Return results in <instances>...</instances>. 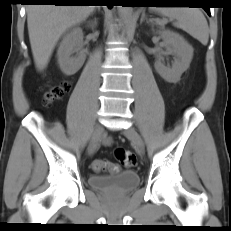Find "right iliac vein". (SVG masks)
<instances>
[{"mask_svg": "<svg viewBox=\"0 0 231 231\" xmlns=\"http://www.w3.org/2000/svg\"><path fill=\"white\" fill-rule=\"evenodd\" d=\"M103 133H104L103 126L102 125H97L94 132H93V135L91 137V141H90V144H89V147H88L89 154H92L94 152V150L98 146V143H99Z\"/></svg>", "mask_w": 231, "mask_h": 231, "instance_id": "1", "label": "right iliac vein"}]
</instances>
